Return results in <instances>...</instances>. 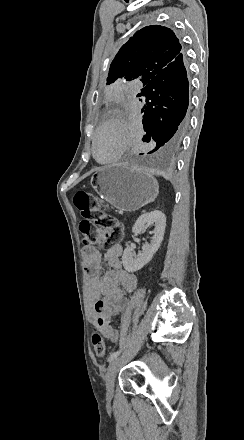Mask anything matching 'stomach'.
<instances>
[{
    "instance_id": "obj_1",
    "label": "stomach",
    "mask_w": 244,
    "mask_h": 440,
    "mask_svg": "<svg viewBox=\"0 0 244 440\" xmlns=\"http://www.w3.org/2000/svg\"><path fill=\"white\" fill-rule=\"evenodd\" d=\"M90 186L102 200L121 212H135L158 196V182L148 170L122 164L102 166L91 176Z\"/></svg>"
}]
</instances>
